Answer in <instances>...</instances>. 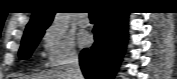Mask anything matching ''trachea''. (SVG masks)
<instances>
[{
	"label": "trachea",
	"mask_w": 177,
	"mask_h": 79,
	"mask_svg": "<svg viewBox=\"0 0 177 79\" xmlns=\"http://www.w3.org/2000/svg\"><path fill=\"white\" fill-rule=\"evenodd\" d=\"M90 18H97V14H96V12H92V13H90Z\"/></svg>",
	"instance_id": "1"
}]
</instances>
